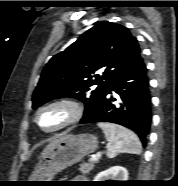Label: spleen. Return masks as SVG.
Wrapping results in <instances>:
<instances>
[{
  "label": "spleen",
  "instance_id": "spleen-1",
  "mask_svg": "<svg viewBox=\"0 0 178 186\" xmlns=\"http://www.w3.org/2000/svg\"><path fill=\"white\" fill-rule=\"evenodd\" d=\"M103 130L109 147L107 157L114 158L119 153H130L139 155L142 151V145L137 135L131 130L113 123H98Z\"/></svg>",
  "mask_w": 178,
  "mask_h": 186
}]
</instances>
